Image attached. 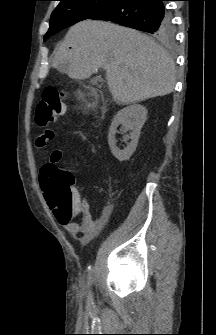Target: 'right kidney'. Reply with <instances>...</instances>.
Instances as JSON below:
<instances>
[{"label":"right kidney","instance_id":"obj_1","mask_svg":"<svg viewBox=\"0 0 216 335\" xmlns=\"http://www.w3.org/2000/svg\"><path fill=\"white\" fill-rule=\"evenodd\" d=\"M147 119V109L143 105L133 104L120 110L114 117L108 134V143L112 154L119 161L128 160L134 153L138 140L140 137V131ZM122 124L126 131H131L130 138L131 142L126 148L120 150L116 146V130L117 127Z\"/></svg>","mask_w":216,"mask_h":335}]
</instances>
